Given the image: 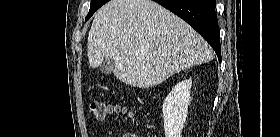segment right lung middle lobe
Returning <instances> with one entry per match:
<instances>
[{"label":"right lung middle lobe","instance_id":"dd1d6c3e","mask_svg":"<svg viewBox=\"0 0 280 137\" xmlns=\"http://www.w3.org/2000/svg\"><path fill=\"white\" fill-rule=\"evenodd\" d=\"M109 0H91V6L88 15L85 20H88L95 11H97L102 5H104Z\"/></svg>","mask_w":280,"mask_h":137}]
</instances>
